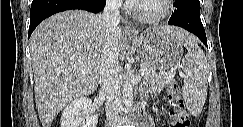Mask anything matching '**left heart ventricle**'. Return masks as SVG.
Here are the masks:
<instances>
[{
	"mask_svg": "<svg viewBox=\"0 0 243 127\" xmlns=\"http://www.w3.org/2000/svg\"><path fill=\"white\" fill-rule=\"evenodd\" d=\"M162 8L163 4L161 0H143L138 5L139 11L146 15L157 14Z\"/></svg>",
	"mask_w": 243,
	"mask_h": 127,
	"instance_id": "obj_1",
	"label": "left heart ventricle"
}]
</instances>
